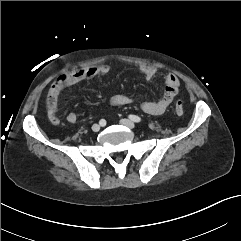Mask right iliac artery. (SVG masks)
I'll use <instances>...</instances> for the list:
<instances>
[{
    "label": "right iliac artery",
    "instance_id": "1",
    "mask_svg": "<svg viewBox=\"0 0 241 241\" xmlns=\"http://www.w3.org/2000/svg\"><path fill=\"white\" fill-rule=\"evenodd\" d=\"M99 124H100L101 126H105V125H106V121H105L104 119H101V120L99 121Z\"/></svg>",
    "mask_w": 241,
    "mask_h": 241
}]
</instances>
